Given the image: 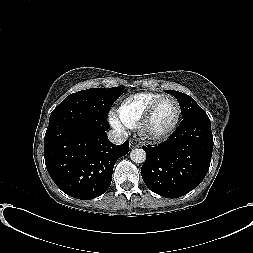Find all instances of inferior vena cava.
I'll use <instances>...</instances> for the list:
<instances>
[{
    "instance_id": "obj_1",
    "label": "inferior vena cava",
    "mask_w": 253,
    "mask_h": 253,
    "mask_svg": "<svg viewBox=\"0 0 253 253\" xmlns=\"http://www.w3.org/2000/svg\"><path fill=\"white\" fill-rule=\"evenodd\" d=\"M107 134L109 140L114 144H122L126 141V137L117 130H109Z\"/></svg>"
}]
</instances>
